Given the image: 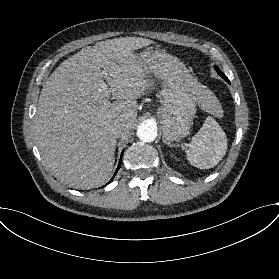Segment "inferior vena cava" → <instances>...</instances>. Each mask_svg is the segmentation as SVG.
I'll return each mask as SVG.
<instances>
[{
    "label": "inferior vena cava",
    "instance_id": "inferior-vena-cava-1",
    "mask_svg": "<svg viewBox=\"0 0 279 279\" xmlns=\"http://www.w3.org/2000/svg\"><path fill=\"white\" fill-rule=\"evenodd\" d=\"M127 133V127L126 124H119L116 125L113 129H112V135L115 138H121L122 136H124Z\"/></svg>",
    "mask_w": 279,
    "mask_h": 279
}]
</instances>
